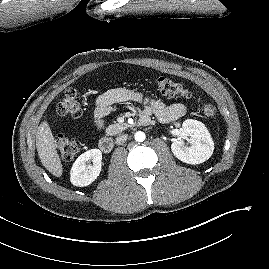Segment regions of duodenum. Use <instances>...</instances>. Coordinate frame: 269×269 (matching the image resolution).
Returning <instances> with one entry per match:
<instances>
[{
  "label": "duodenum",
  "mask_w": 269,
  "mask_h": 269,
  "mask_svg": "<svg viewBox=\"0 0 269 269\" xmlns=\"http://www.w3.org/2000/svg\"><path fill=\"white\" fill-rule=\"evenodd\" d=\"M140 123L142 125H147V124H149V121L148 120H141ZM99 148L104 153H110L114 148V142H113L112 138H110V137L101 138L99 141Z\"/></svg>",
  "instance_id": "410a0bca"
}]
</instances>
